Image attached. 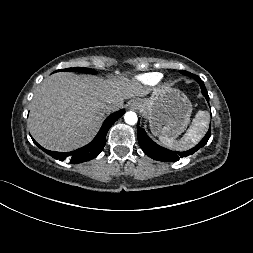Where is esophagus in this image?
<instances>
[{
	"mask_svg": "<svg viewBox=\"0 0 253 253\" xmlns=\"http://www.w3.org/2000/svg\"><path fill=\"white\" fill-rule=\"evenodd\" d=\"M140 107V104L136 101H133L131 104H130V108L132 109H138Z\"/></svg>",
	"mask_w": 253,
	"mask_h": 253,
	"instance_id": "esophagus-1",
	"label": "esophagus"
}]
</instances>
